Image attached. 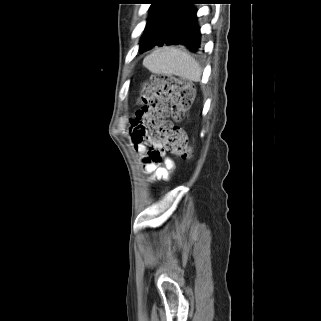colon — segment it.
Listing matches in <instances>:
<instances>
[{
  "label": "colon",
  "mask_w": 321,
  "mask_h": 321,
  "mask_svg": "<svg viewBox=\"0 0 321 321\" xmlns=\"http://www.w3.org/2000/svg\"><path fill=\"white\" fill-rule=\"evenodd\" d=\"M194 96L193 85L168 75H154L144 85L140 101L152 104L154 112L149 119V128L153 141L157 145L155 158L170 153L181 158L192 154L185 131L177 125L189 109ZM165 115L172 118L168 120Z\"/></svg>",
  "instance_id": "1"
}]
</instances>
